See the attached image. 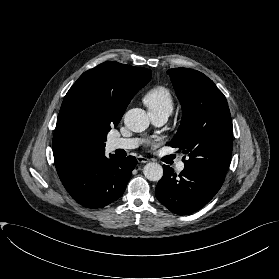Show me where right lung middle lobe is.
Here are the masks:
<instances>
[{
    "label": "right lung middle lobe",
    "mask_w": 279,
    "mask_h": 279,
    "mask_svg": "<svg viewBox=\"0 0 279 279\" xmlns=\"http://www.w3.org/2000/svg\"><path fill=\"white\" fill-rule=\"evenodd\" d=\"M111 127V124L94 118L81 102L76 101L66 123V136L73 148L86 152L97 145L105 146Z\"/></svg>",
    "instance_id": "right-lung-middle-lobe-1"
}]
</instances>
